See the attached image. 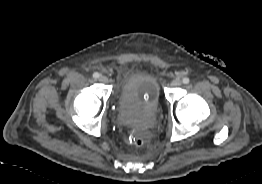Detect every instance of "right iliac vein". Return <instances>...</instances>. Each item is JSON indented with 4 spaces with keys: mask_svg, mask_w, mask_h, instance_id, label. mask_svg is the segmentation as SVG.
Returning <instances> with one entry per match:
<instances>
[{
    "mask_svg": "<svg viewBox=\"0 0 262 184\" xmlns=\"http://www.w3.org/2000/svg\"><path fill=\"white\" fill-rule=\"evenodd\" d=\"M99 81L102 82V83H107L108 82V78H107V76L101 75L99 77Z\"/></svg>",
    "mask_w": 262,
    "mask_h": 184,
    "instance_id": "right-iliac-vein-1",
    "label": "right iliac vein"
}]
</instances>
